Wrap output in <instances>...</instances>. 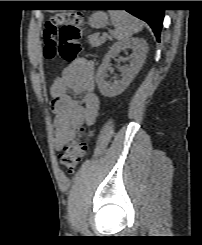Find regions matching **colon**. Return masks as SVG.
<instances>
[{"mask_svg": "<svg viewBox=\"0 0 202 245\" xmlns=\"http://www.w3.org/2000/svg\"><path fill=\"white\" fill-rule=\"evenodd\" d=\"M84 20L81 16L62 13L48 17L44 24V57L52 60L56 56L67 62L75 61L82 53ZM92 133L65 146L60 153V162L68 174H73L82 161Z\"/></svg>", "mask_w": 202, "mask_h": 245, "instance_id": "obj_1", "label": "colon"}]
</instances>
